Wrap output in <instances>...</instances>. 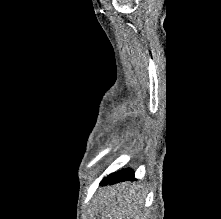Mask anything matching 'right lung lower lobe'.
<instances>
[{
	"label": "right lung lower lobe",
	"instance_id": "1",
	"mask_svg": "<svg viewBox=\"0 0 221 219\" xmlns=\"http://www.w3.org/2000/svg\"><path fill=\"white\" fill-rule=\"evenodd\" d=\"M125 180H136L131 169H124L120 172L112 173L102 180L100 185L113 184Z\"/></svg>",
	"mask_w": 221,
	"mask_h": 219
}]
</instances>
